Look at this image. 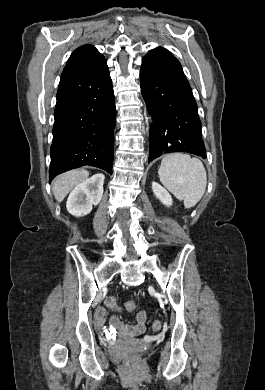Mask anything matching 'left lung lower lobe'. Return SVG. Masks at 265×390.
<instances>
[{
    "mask_svg": "<svg viewBox=\"0 0 265 390\" xmlns=\"http://www.w3.org/2000/svg\"><path fill=\"white\" fill-rule=\"evenodd\" d=\"M140 82L153 117L148 162L174 152L205 159L197 104L179 61L174 56L148 53L142 59Z\"/></svg>",
    "mask_w": 265,
    "mask_h": 390,
    "instance_id": "obj_1",
    "label": "left lung lower lobe"
}]
</instances>
